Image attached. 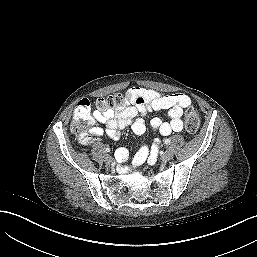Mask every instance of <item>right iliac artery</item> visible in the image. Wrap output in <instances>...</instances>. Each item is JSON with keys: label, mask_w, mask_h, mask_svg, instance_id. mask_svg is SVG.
Instances as JSON below:
<instances>
[{"label": "right iliac artery", "mask_w": 257, "mask_h": 257, "mask_svg": "<svg viewBox=\"0 0 257 257\" xmlns=\"http://www.w3.org/2000/svg\"><path fill=\"white\" fill-rule=\"evenodd\" d=\"M105 151H106V152H110V148L107 147V148L105 149Z\"/></svg>", "instance_id": "82829eb1"}]
</instances>
